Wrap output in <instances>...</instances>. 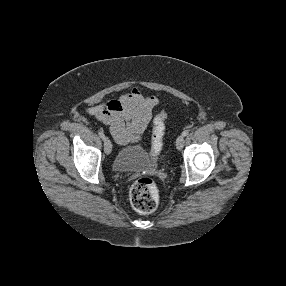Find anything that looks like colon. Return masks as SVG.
<instances>
[{
	"label": "colon",
	"instance_id": "1",
	"mask_svg": "<svg viewBox=\"0 0 286 286\" xmlns=\"http://www.w3.org/2000/svg\"><path fill=\"white\" fill-rule=\"evenodd\" d=\"M166 111H160L154 118L152 130L151 155L157 157L163 146L165 135ZM132 207L142 214L153 212L159 202V191L155 182L149 177L137 179L130 189Z\"/></svg>",
	"mask_w": 286,
	"mask_h": 286
}]
</instances>
